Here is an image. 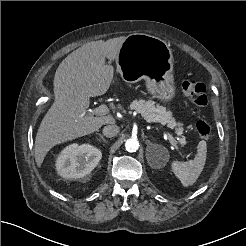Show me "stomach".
<instances>
[{
	"label": "stomach",
	"instance_id": "1",
	"mask_svg": "<svg viewBox=\"0 0 246 246\" xmlns=\"http://www.w3.org/2000/svg\"><path fill=\"white\" fill-rule=\"evenodd\" d=\"M116 66L127 83L144 79L152 97L163 102L174 98L173 55L164 40L143 33L128 35L119 49Z\"/></svg>",
	"mask_w": 246,
	"mask_h": 246
}]
</instances>
